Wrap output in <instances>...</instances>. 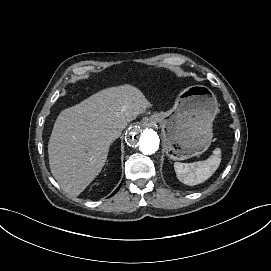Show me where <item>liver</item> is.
I'll use <instances>...</instances> for the list:
<instances>
[{"label": "liver", "instance_id": "6515ba94", "mask_svg": "<svg viewBox=\"0 0 271 271\" xmlns=\"http://www.w3.org/2000/svg\"><path fill=\"white\" fill-rule=\"evenodd\" d=\"M149 108L141 92L123 86L62 111L48 145L51 172L62 189L79 196L101 173L111 136Z\"/></svg>", "mask_w": 271, "mask_h": 271}]
</instances>
